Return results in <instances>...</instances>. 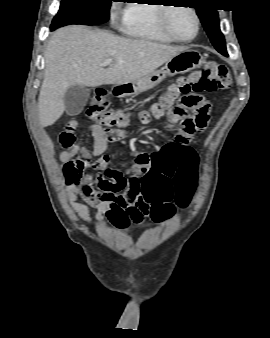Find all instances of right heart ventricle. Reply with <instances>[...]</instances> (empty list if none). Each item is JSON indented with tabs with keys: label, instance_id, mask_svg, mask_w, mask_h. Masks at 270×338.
<instances>
[{
	"label": "right heart ventricle",
	"instance_id": "obj_1",
	"mask_svg": "<svg viewBox=\"0 0 270 338\" xmlns=\"http://www.w3.org/2000/svg\"><path fill=\"white\" fill-rule=\"evenodd\" d=\"M132 4L126 10V18L122 24L123 31L139 39L169 43L172 40L160 27V5Z\"/></svg>",
	"mask_w": 270,
	"mask_h": 338
}]
</instances>
